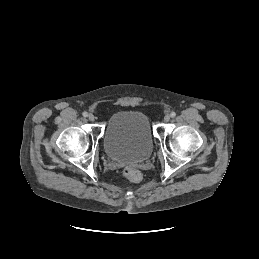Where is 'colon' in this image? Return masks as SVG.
I'll list each match as a JSON object with an SVG mask.
<instances>
[{
  "instance_id": "1",
  "label": "colon",
  "mask_w": 259,
  "mask_h": 259,
  "mask_svg": "<svg viewBox=\"0 0 259 259\" xmlns=\"http://www.w3.org/2000/svg\"><path fill=\"white\" fill-rule=\"evenodd\" d=\"M123 174L131 182H138L142 178L140 171L132 167L124 168Z\"/></svg>"
}]
</instances>
